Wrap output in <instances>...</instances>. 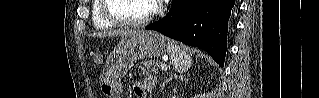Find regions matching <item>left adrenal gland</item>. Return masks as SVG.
I'll return each instance as SVG.
<instances>
[{
    "instance_id": "left-adrenal-gland-1",
    "label": "left adrenal gland",
    "mask_w": 319,
    "mask_h": 98,
    "mask_svg": "<svg viewBox=\"0 0 319 98\" xmlns=\"http://www.w3.org/2000/svg\"><path fill=\"white\" fill-rule=\"evenodd\" d=\"M173 78H177V75H176V74H174V75L171 74L170 77L167 78V79L163 82L162 88L165 86V84H166L167 82L171 81Z\"/></svg>"
}]
</instances>
